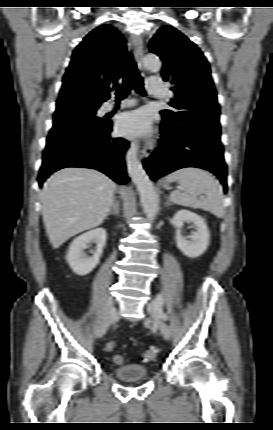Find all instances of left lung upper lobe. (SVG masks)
Wrapping results in <instances>:
<instances>
[{
    "instance_id": "5c2ea615",
    "label": "left lung upper lobe",
    "mask_w": 273,
    "mask_h": 430,
    "mask_svg": "<svg viewBox=\"0 0 273 430\" xmlns=\"http://www.w3.org/2000/svg\"><path fill=\"white\" fill-rule=\"evenodd\" d=\"M151 52L163 61L162 77L173 85L172 110L161 114L185 124L200 114L219 119L217 93L211 71L200 49L172 26H163L149 43Z\"/></svg>"
}]
</instances>
